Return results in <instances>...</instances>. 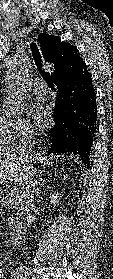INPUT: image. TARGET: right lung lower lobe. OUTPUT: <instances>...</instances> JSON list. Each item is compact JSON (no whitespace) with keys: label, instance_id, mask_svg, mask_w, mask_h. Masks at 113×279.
I'll return each instance as SVG.
<instances>
[{"label":"right lung lower lobe","instance_id":"obj_1","mask_svg":"<svg viewBox=\"0 0 113 279\" xmlns=\"http://www.w3.org/2000/svg\"><path fill=\"white\" fill-rule=\"evenodd\" d=\"M54 83L57 87L53 114L55 125L47 132L50 140L48 153H73L89 165L97 105L86 64Z\"/></svg>","mask_w":113,"mask_h":279}]
</instances>
